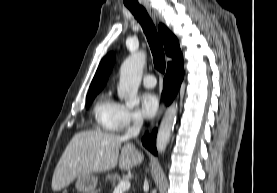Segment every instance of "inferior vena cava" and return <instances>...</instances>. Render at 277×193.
<instances>
[{
    "mask_svg": "<svg viewBox=\"0 0 277 193\" xmlns=\"http://www.w3.org/2000/svg\"><path fill=\"white\" fill-rule=\"evenodd\" d=\"M143 125V118L141 116H134L133 117V126L127 130L125 134V138H135L139 135L140 130ZM145 185H147V181L144 182Z\"/></svg>",
    "mask_w": 277,
    "mask_h": 193,
    "instance_id": "1",
    "label": "inferior vena cava"
}]
</instances>
